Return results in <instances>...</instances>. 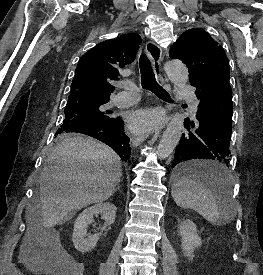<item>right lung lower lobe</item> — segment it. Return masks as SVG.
Wrapping results in <instances>:
<instances>
[{"label": "right lung lower lobe", "mask_w": 263, "mask_h": 275, "mask_svg": "<svg viewBox=\"0 0 263 275\" xmlns=\"http://www.w3.org/2000/svg\"><path fill=\"white\" fill-rule=\"evenodd\" d=\"M69 132L81 133L94 137L110 146L122 160L127 161L130 159V139L124 132L123 122L120 118H111L107 122L99 125L74 127L69 130Z\"/></svg>", "instance_id": "98d812e1"}]
</instances>
